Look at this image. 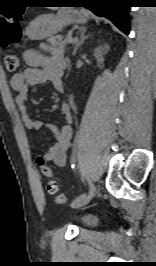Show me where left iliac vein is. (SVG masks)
<instances>
[{
  "label": "left iliac vein",
  "mask_w": 156,
  "mask_h": 266,
  "mask_svg": "<svg viewBox=\"0 0 156 266\" xmlns=\"http://www.w3.org/2000/svg\"><path fill=\"white\" fill-rule=\"evenodd\" d=\"M94 186V185H93ZM95 196V192L93 194L88 193L84 198H82L81 200L77 201V202H73L72 203V207L73 208H80L82 206H85L86 204H88L92 198Z\"/></svg>",
  "instance_id": "1"
}]
</instances>
